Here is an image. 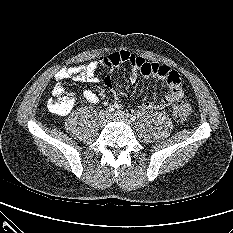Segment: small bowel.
I'll return each instance as SVG.
<instances>
[{"mask_svg": "<svg viewBox=\"0 0 233 233\" xmlns=\"http://www.w3.org/2000/svg\"><path fill=\"white\" fill-rule=\"evenodd\" d=\"M122 63H129L132 66V74L130 76L131 82H135L138 74H141L146 78L156 77L167 84L168 92L165 97L160 102H145L144 108L146 110L165 109L182 98L183 90L181 79L176 71L165 65L149 63L142 57L136 56L125 50L109 53L108 55L101 56L97 60L85 65L61 68L55 75L57 83L53 91L58 88H63L61 82L69 78L79 83H98L99 78L96 72L99 68H114ZM105 83L109 85L110 80L106 78ZM83 97L92 103L99 101L98 95L92 90L84 91ZM66 114L68 113L61 114V116Z\"/></svg>", "mask_w": 233, "mask_h": 233, "instance_id": "obj_1", "label": "small bowel"}]
</instances>
